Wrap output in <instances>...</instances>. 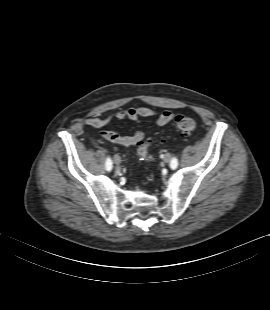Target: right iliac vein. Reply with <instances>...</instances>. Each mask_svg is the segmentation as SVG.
Masks as SVG:
<instances>
[{
	"mask_svg": "<svg viewBox=\"0 0 270 310\" xmlns=\"http://www.w3.org/2000/svg\"><path fill=\"white\" fill-rule=\"evenodd\" d=\"M113 160L116 165H119L121 163V158L118 155H115Z\"/></svg>",
	"mask_w": 270,
	"mask_h": 310,
	"instance_id": "63e3f726",
	"label": "right iliac vein"
}]
</instances>
